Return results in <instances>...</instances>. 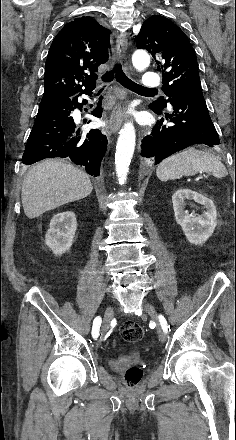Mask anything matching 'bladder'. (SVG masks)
I'll list each match as a JSON object with an SVG mask.
<instances>
[{"label":"bladder","mask_w":236,"mask_h":440,"mask_svg":"<svg viewBox=\"0 0 236 440\" xmlns=\"http://www.w3.org/2000/svg\"><path fill=\"white\" fill-rule=\"evenodd\" d=\"M138 359H139V355L136 352L130 355H116L110 359L109 365L113 370H118L127 360H138Z\"/></svg>","instance_id":"bladder-1"}]
</instances>
